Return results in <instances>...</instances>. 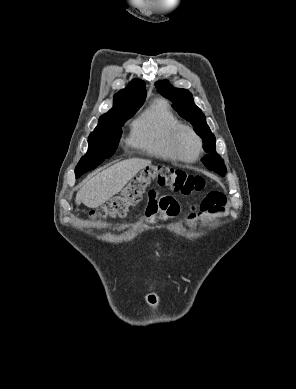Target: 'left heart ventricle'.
<instances>
[{"mask_svg": "<svg viewBox=\"0 0 296 389\" xmlns=\"http://www.w3.org/2000/svg\"><path fill=\"white\" fill-rule=\"evenodd\" d=\"M180 147H181L182 154L185 157L191 158L195 156L197 147L194 139L190 135L188 134L183 135L180 142Z\"/></svg>", "mask_w": 296, "mask_h": 389, "instance_id": "1", "label": "left heart ventricle"}]
</instances>
